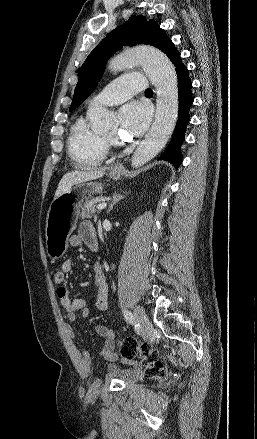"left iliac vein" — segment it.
Returning a JSON list of instances; mask_svg holds the SVG:
<instances>
[{
  "instance_id": "obj_1",
  "label": "left iliac vein",
  "mask_w": 257,
  "mask_h": 439,
  "mask_svg": "<svg viewBox=\"0 0 257 439\" xmlns=\"http://www.w3.org/2000/svg\"><path fill=\"white\" fill-rule=\"evenodd\" d=\"M135 322L140 328L143 338H147L150 334V325L148 317L141 306H136L134 309Z\"/></svg>"
}]
</instances>
